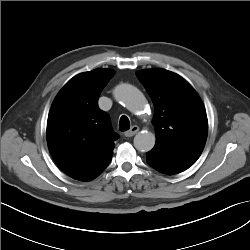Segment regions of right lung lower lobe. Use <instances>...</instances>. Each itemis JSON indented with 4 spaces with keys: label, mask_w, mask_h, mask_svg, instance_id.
<instances>
[{
    "label": "right lung lower lobe",
    "mask_w": 250,
    "mask_h": 250,
    "mask_svg": "<svg viewBox=\"0 0 250 250\" xmlns=\"http://www.w3.org/2000/svg\"><path fill=\"white\" fill-rule=\"evenodd\" d=\"M112 157H110L109 159L105 160L102 164H100L98 167H96L95 169H93L91 172L87 173L86 175H84L83 177H81L80 181H89L92 180L94 178H96L99 174H101L104 169L109 165L110 161H111Z\"/></svg>",
    "instance_id": "obj_1"
}]
</instances>
